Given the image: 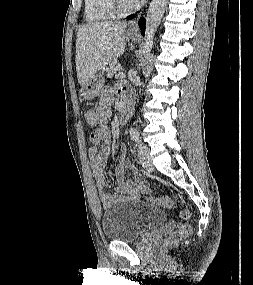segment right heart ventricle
<instances>
[{
	"label": "right heart ventricle",
	"mask_w": 253,
	"mask_h": 285,
	"mask_svg": "<svg viewBox=\"0 0 253 285\" xmlns=\"http://www.w3.org/2000/svg\"><path fill=\"white\" fill-rule=\"evenodd\" d=\"M84 16L88 22H103L118 15L111 9L108 0H84Z\"/></svg>",
	"instance_id": "right-heart-ventricle-1"
}]
</instances>
